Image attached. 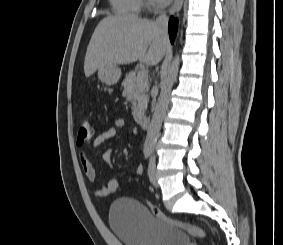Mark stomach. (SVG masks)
<instances>
[{"instance_id":"0dacf381","label":"stomach","mask_w":283,"mask_h":245,"mask_svg":"<svg viewBox=\"0 0 283 245\" xmlns=\"http://www.w3.org/2000/svg\"><path fill=\"white\" fill-rule=\"evenodd\" d=\"M121 76V69L115 65H106L98 68V78L106 85L116 84Z\"/></svg>"}]
</instances>
